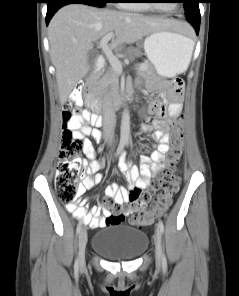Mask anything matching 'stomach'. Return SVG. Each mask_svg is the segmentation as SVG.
Returning a JSON list of instances; mask_svg holds the SVG:
<instances>
[{
    "instance_id": "stomach-1",
    "label": "stomach",
    "mask_w": 239,
    "mask_h": 296,
    "mask_svg": "<svg viewBox=\"0 0 239 296\" xmlns=\"http://www.w3.org/2000/svg\"><path fill=\"white\" fill-rule=\"evenodd\" d=\"M192 40L169 29L149 34L144 41L145 54L156 73L173 78L186 70Z\"/></svg>"
}]
</instances>
